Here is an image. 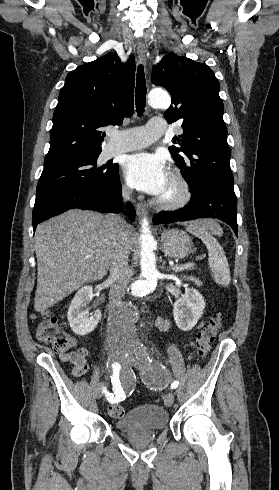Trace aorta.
Returning a JSON list of instances; mask_svg holds the SVG:
<instances>
[{
	"label": "aorta",
	"instance_id": "aorta-1",
	"mask_svg": "<svg viewBox=\"0 0 279 490\" xmlns=\"http://www.w3.org/2000/svg\"><path fill=\"white\" fill-rule=\"evenodd\" d=\"M148 103L153 108H168L171 104V99L166 91L152 90L149 93ZM140 244V279L131 286V293L135 297L145 296L153 292L157 286L159 276L154 254L155 240L146 218L142 220L141 224ZM136 320L135 309L129 303H121L108 317V336L110 341L118 344L136 343Z\"/></svg>",
	"mask_w": 279,
	"mask_h": 490
}]
</instances>
